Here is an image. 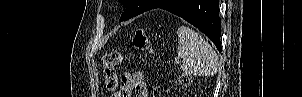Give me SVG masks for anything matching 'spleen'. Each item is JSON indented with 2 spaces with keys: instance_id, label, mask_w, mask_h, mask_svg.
<instances>
[{
  "instance_id": "3e777b00",
  "label": "spleen",
  "mask_w": 302,
  "mask_h": 97,
  "mask_svg": "<svg viewBox=\"0 0 302 97\" xmlns=\"http://www.w3.org/2000/svg\"><path fill=\"white\" fill-rule=\"evenodd\" d=\"M179 58L185 60L181 66L185 74L211 76L218 69V56L210 44L196 31L186 26L177 29Z\"/></svg>"
}]
</instances>
